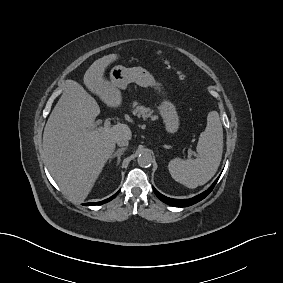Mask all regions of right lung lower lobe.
Masks as SVG:
<instances>
[{
	"instance_id": "1",
	"label": "right lung lower lobe",
	"mask_w": 283,
	"mask_h": 283,
	"mask_svg": "<svg viewBox=\"0 0 283 283\" xmlns=\"http://www.w3.org/2000/svg\"><path fill=\"white\" fill-rule=\"evenodd\" d=\"M118 193H119V191L116 194H114L113 196H111L110 198L103 200L101 202L85 203L83 205L90 206V205H101V204L107 203V202L111 201Z\"/></svg>"
}]
</instances>
